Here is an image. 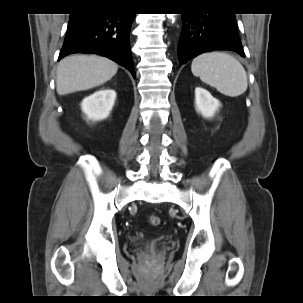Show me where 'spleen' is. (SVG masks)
Instances as JSON below:
<instances>
[{
	"label": "spleen",
	"mask_w": 303,
	"mask_h": 303,
	"mask_svg": "<svg viewBox=\"0 0 303 303\" xmlns=\"http://www.w3.org/2000/svg\"><path fill=\"white\" fill-rule=\"evenodd\" d=\"M194 76L214 87L223 95L237 97L248 86L247 75L241 63L225 52H209L194 58L191 64Z\"/></svg>",
	"instance_id": "1"
}]
</instances>
